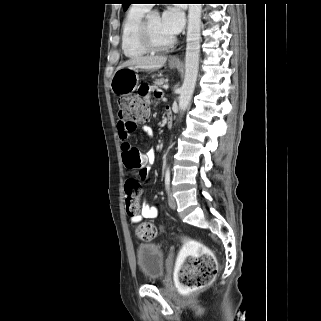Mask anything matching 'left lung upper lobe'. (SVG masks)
I'll list each match as a JSON object with an SVG mask.
<instances>
[{"label": "left lung upper lobe", "mask_w": 321, "mask_h": 321, "mask_svg": "<svg viewBox=\"0 0 321 321\" xmlns=\"http://www.w3.org/2000/svg\"><path fill=\"white\" fill-rule=\"evenodd\" d=\"M132 0H122L123 8L126 10L128 6L131 4Z\"/></svg>", "instance_id": "obj_1"}]
</instances>
